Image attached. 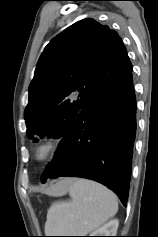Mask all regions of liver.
Masks as SVG:
<instances>
[{"instance_id": "liver-1", "label": "liver", "mask_w": 158, "mask_h": 237, "mask_svg": "<svg viewBox=\"0 0 158 237\" xmlns=\"http://www.w3.org/2000/svg\"><path fill=\"white\" fill-rule=\"evenodd\" d=\"M72 181H73L72 179L60 181L55 186L44 190V192L47 193V194H59L58 190L65 184H71Z\"/></svg>"}]
</instances>
